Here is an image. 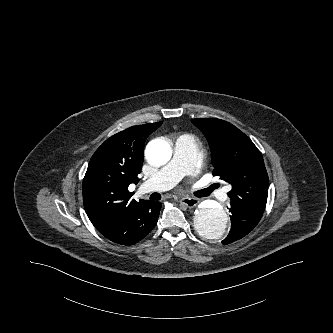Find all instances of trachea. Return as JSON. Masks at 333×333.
I'll return each instance as SVG.
<instances>
[{
  "mask_svg": "<svg viewBox=\"0 0 333 333\" xmlns=\"http://www.w3.org/2000/svg\"><path fill=\"white\" fill-rule=\"evenodd\" d=\"M216 187L215 186H210L209 188L207 189H203L201 191H199V194L201 196H207L210 194V192L215 189ZM150 199L152 200H159L160 199V194L159 193H153L151 196H150Z\"/></svg>",
  "mask_w": 333,
  "mask_h": 333,
  "instance_id": "trachea-1",
  "label": "trachea"
}]
</instances>
